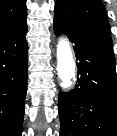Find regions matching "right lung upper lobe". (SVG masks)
Instances as JSON below:
<instances>
[{
    "instance_id": "1",
    "label": "right lung upper lobe",
    "mask_w": 117,
    "mask_h": 136,
    "mask_svg": "<svg viewBox=\"0 0 117 136\" xmlns=\"http://www.w3.org/2000/svg\"><path fill=\"white\" fill-rule=\"evenodd\" d=\"M26 0H0V38L26 26Z\"/></svg>"
}]
</instances>
